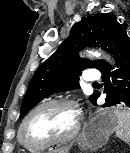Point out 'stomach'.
I'll use <instances>...</instances> for the list:
<instances>
[{"mask_svg":"<svg viewBox=\"0 0 130 153\" xmlns=\"http://www.w3.org/2000/svg\"><path fill=\"white\" fill-rule=\"evenodd\" d=\"M117 118L113 110L98 111L85 125L79 146L85 150H96L101 148L115 131Z\"/></svg>","mask_w":130,"mask_h":153,"instance_id":"1","label":"stomach"}]
</instances>
